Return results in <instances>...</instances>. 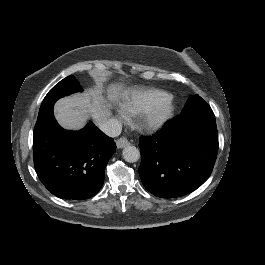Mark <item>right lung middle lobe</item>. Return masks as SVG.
<instances>
[{"mask_svg":"<svg viewBox=\"0 0 265 265\" xmlns=\"http://www.w3.org/2000/svg\"><path fill=\"white\" fill-rule=\"evenodd\" d=\"M78 91H82V88L76 78L73 75L66 77L48 92L41 104L39 114L52 108L59 98Z\"/></svg>","mask_w":265,"mask_h":265,"instance_id":"dd1d6c3e","label":"right lung middle lobe"}]
</instances>
